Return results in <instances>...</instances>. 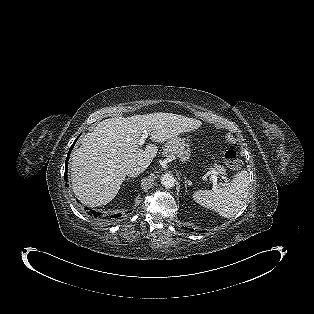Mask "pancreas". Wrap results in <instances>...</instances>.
<instances>
[{"instance_id":"pancreas-1","label":"pancreas","mask_w":314,"mask_h":314,"mask_svg":"<svg viewBox=\"0 0 314 314\" xmlns=\"http://www.w3.org/2000/svg\"><path fill=\"white\" fill-rule=\"evenodd\" d=\"M166 146H167V143L165 144V147ZM214 167L218 171V173H220V174H225L226 173V169L223 166L215 165Z\"/></svg>"}]
</instances>
